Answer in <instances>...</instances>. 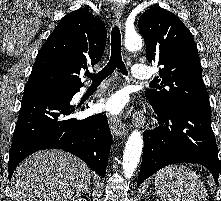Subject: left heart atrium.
Here are the masks:
<instances>
[{"label":"left heart atrium","instance_id":"39dd6f15","mask_svg":"<svg viewBox=\"0 0 221 201\" xmlns=\"http://www.w3.org/2000/svg\"><path fill=\"white\" fill-rule=\"evenodd\" d=\"M126 103V95L123 92H116L105 99L100 107L111 114H119L125 109Z\"/></svg>","mask_w":221,"mask_h":201}]
</instances>
